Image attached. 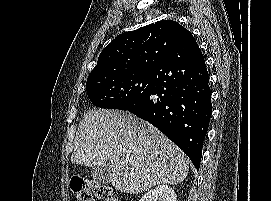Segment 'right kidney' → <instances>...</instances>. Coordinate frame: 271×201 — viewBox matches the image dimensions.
Instances as JSON below:
<instances>
[{"mask_svg":"<svg viewBox=\"0 0 271 201\" xmlns=\"http://www.w3.org/2000/svg\"><path fill=\"white\" fill-rule=\"evenodd\" d=\"M177 196L174 189L168 185H159L148 191L140 201H176Z\"/></svg>","mask_w":271,"mask_h":201,"instance_id":"1","label":"right kidney"}]
</instances>
